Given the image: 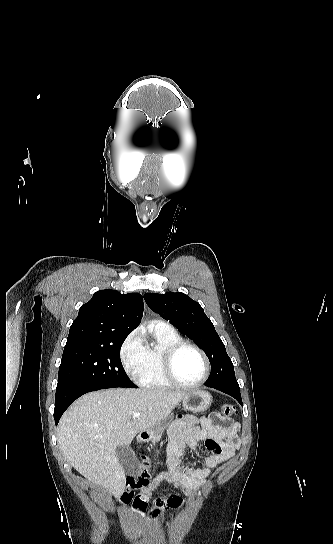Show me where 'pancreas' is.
Segmentation results:
<instances>
[{"instance_id":"1","label":"pancreas","mask_w":333,"mask_h":544,"mask_svg":"<svg viewBox=\"0 0 333 544\" xmlns=\"http://www.w3.org/2000/svg\"><path fill=\"white\" fill-rule=\"evenodd\" d=\"M161 436H162V433H157V434L150 437V441L154 445L156 442H158L161 439Z\"/></svg>"}]
</instances>
